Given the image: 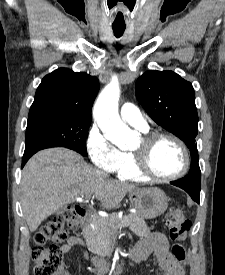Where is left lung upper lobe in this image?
Instances as JSON below:
<instances>
[{
  "label": "left lung upper lobe",
  "instance_id": "5c2ea615",
  "mask_svg": "<svg viewBox=\"0 0 225 275\" xmlns=\"http://www.w3.org/2000/svg\"><path fill=\"white\" fill-rule=\"evenodd\" d=\"M136 96L157 124L179 137L190 148L189 173L201 175L195 142L198 115L192 84L175 72L150 70L137 79Z\"/></svg>",
  "mask_w": 225,
  "mask_h": 275
}]
</instances>
